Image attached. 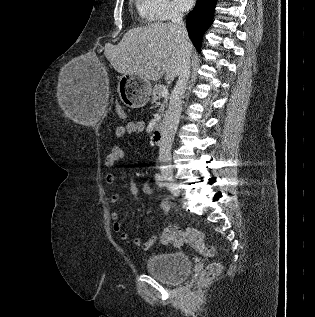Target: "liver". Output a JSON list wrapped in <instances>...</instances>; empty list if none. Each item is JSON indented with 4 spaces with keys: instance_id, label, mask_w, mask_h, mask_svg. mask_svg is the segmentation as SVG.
Wrapping results in <instances>:
<instances>
[{
    "instance_id": "obj_1",
    "label": "liver",
    "mask_w": 315,
    "mask_h": 317,
    "mask_svg": "<svg viewBox=\"0 0 315 317\" xmlns=\"http://www.w3.org/2000/svg\"><path fill=\"white\" fill-rule=\"evenodd\" d=\"M184 52L176 25L158 22L129 30L117 45H106L104 55L118 73L157 81L179 75Z\"/></svg>"
}]
</instances>
